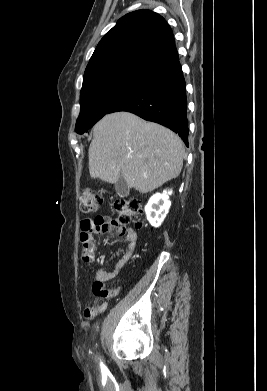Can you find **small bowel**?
Masks as SVG:
<instances>
[{"label": "small bowel", "instance_id": "small-bowel-1", "mask_svg": "<svg viewBox=\"0 0 267 391\" xmlns=\"http://www.w3.org/2000/svg\"><path fill=\"white\" fill-rule=\"evenodd\" d=\"M81 233L80 241L82 238L86 239L82 244V259L85 262H92L95 259V236L110 233L114 237L124 236V249L120 259L117 261L113 271H105L99 269L96 273L95 282L93 284V292L96 296L101 298H109L118 293V288L107 289L106 283L116 278L122 268L131 258L136 242L137 233L132 227H125L119 225L115 220L109 217L97 216L94 219H84L80 224ZM104 305H100L97 308L87 309L84 312L86 318H91L98 314L103 309Z\"/></svg>", "mask_w": 267, "mask_h": 391}]
</instances>
